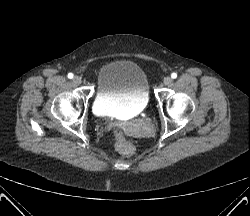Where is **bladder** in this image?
<instances>
[{"label": "bladder", "instance_id": "obj_1", "mask_svg": "<svg viewBox=\"0 0 250 216\" xmlns=\"http://www.w3.org/2000/svg\"><path fill=\"white\" fill-rule=\"evenodd\" d=\"M148 101L146 75L134 62L112 61L98 71L93 104L98 114L135 115L146 108Z\"/></svg>", "mask_w": 250, "mask_h": 216}]
</instances>
